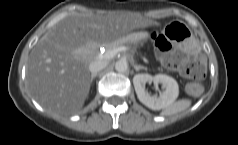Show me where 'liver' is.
<instances>
[{
    "label": "liver",
    "instance_id": "1",
    "mask_svg": "<svg viewBox=\"0 0 238 145\" xmlns=\"http://www.w3.org/2000/svg\"><path fill=\"white\" fill-rule=\"evenodd\" d=\"M156 23L124 12L71 14L53 25L31 50L26 78L30 92L49 112L79 111L90 90V44L118 41Z\"/></svg>",
    "mask_w": 238,
    "mask_h": 145
}]
</instances>
